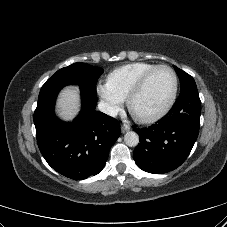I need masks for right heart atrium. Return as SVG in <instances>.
<instances>
[{"label": "right heart atrium", "instance_id": "right-heart-atrium-1", "mask_svg": "<svg viewBox=\"0 0 227 227\" xmlns=\"http://www.w3.org/2000/svg\"><path fill=\"white\" fill-rule=\"evenodd\" d=\"M97 92L105 103L106 111L109 114H115L123 105L124 100L115 94L107 83L97 85Z\"/></svg>", "mask_w": 227, "mask_h": 227}]
</instances>
